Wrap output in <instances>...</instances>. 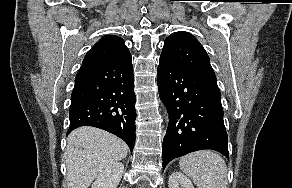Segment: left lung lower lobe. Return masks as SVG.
I'll use <instances>...</instances> for the list:
<instances>
[{
	"label": "left lung lower lobe",
	"instance_id": "obj_1",
	"mask_svg": "<svg viewBox=\"0 0 292 188\" xmlns=\"http://www.w3.org/2000/svg\"><path fill=\"white\" fill-rule=\"evenodd\" d=\"M159 95L169 114L163 140V167L187 153L212 149L227 158V133L216 80L160 59Z\"/></svg>",
	"mask_w": 292,
	"mask_h": 188
}]
</instances>
